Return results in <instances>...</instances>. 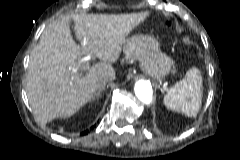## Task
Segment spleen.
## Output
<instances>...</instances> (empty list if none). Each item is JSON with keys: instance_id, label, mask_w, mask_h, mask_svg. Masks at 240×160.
I'll use <instances>...</instances> for the list:
<instances>
[{"instance_id": "obj_1", "label": "spleen", "mask_w": 240, "mask_h": 160, "mask_svg": "<svg viewBox=\"0 0 240 160\" xmlns=\"http://www.w3.org/2000/svg\"><path fill=\"white\" fill-rule=\"evenodd\" d=\"M201 87V74L198 69L192 68L165 95L164 104L187 116H196L201 107Z\"/></svg>"}]
</instances>
